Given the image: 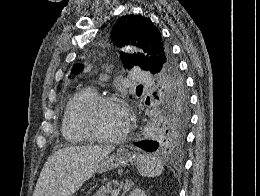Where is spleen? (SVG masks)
Returning <instances> with one entry per match:
<instances>
[{
	"instance_id": "spleen-1",
	"label": "spleen",
	"mask_w": 260,
	"mask_h": 196,
	"mask_svg": "<svg viewBox=\"0 0 260 196\" xmlns=\"http://www.w3.org/2000/svg\"><path fill=\"white\" fill-rule=\"evenodd\" d=\"M137 170L141 176H147V178H156L162 174L163 162L156 158V156H148V154H143V156H138L137 158Z\"/></svg>"
}]
</instances>
